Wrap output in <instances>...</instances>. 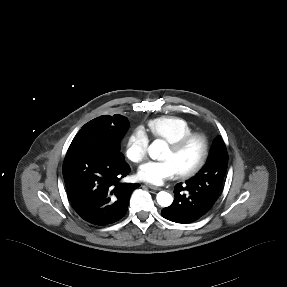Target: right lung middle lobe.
Returning <instances> with one entry per match:
<instances>
[{"label":"right lung middle lobe","mask_w":287,"mask_h":287,"mask_svg":"<svg viewBox=\"0 0 287 287\" xmlns=\"http://www.w3.org/2000/svg\"><path fill=\"white\" fill-rule=\"evenodd\" d=\"M104 124L95 118L85 124L74 137L67 152L80 149H92L106 154H120V139L128 128V121L120 116L112 125L110 132H104Z\"/></svg>","instance_id":"obj_1"}]
</instances>
